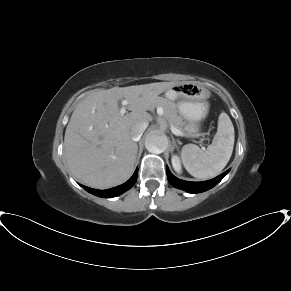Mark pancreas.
<instances>
[{
	"mask_svg": "<svg viewBox=\"0 0 291 291\" xmlns=\"http://www.w3.org/2000/svg\"><path fill=\"white\" fill-rule=\"evenodd\" d=\"M154 107H161L163 109L164 118L178 130L183 131V121L177 113V105L164 97H157L154 102Z\"/></svg>",
	"mask_w": 291,
	"mask_h": 291,
	"instance_id": "pancreas-1",
	"label": "pancreas"
}]
</instances>
